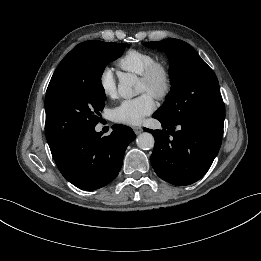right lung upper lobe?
Segmentation results:
<instances>
[{
    "label": "right lung upper lobe",
    "instance_id": "right-lung-upper-lobe-1",
    "mask_svg": "<svg viewBox=\"0 0 261 261\" xmlns=\"http://www.w3.org/2000/svg\"><path fill=\"white\" fill-rule=\"evenodd\" d=\"M87 42H89V41H87ZM84 43H86V42H83V43L77 45L72 51H70L63 58V60L58 65L57 69L55 70V72L51 78V81L48 85L47 92L52 90L56 86H58L65 79L77 74L76 69H75L77 52H78L79 48L81 47V45Z\"/></svg>",
    "mask_w": 261,
    "mask_h": 261
}]
</instances>
